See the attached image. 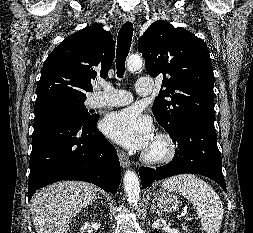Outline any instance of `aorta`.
Returning <instances> with one entry per match:
<instances>
[{
    "mask_svg": "<svg viewBox=\"0 0 253 233\" xmlns=\"http://www.w3.org/2000/svg\"><path fill=\"white\" fill-rule=\"evenodd\" d=\"M142 65L143 62L139 56L133 55L127 60V69L130 72L139 70ZM124 190L129 204L137 206L140 200V181L137 174L132 170H127L124 175Z\"/></svg>",
    "mask_w": 253,
    "mask_h": 233,
    "instance_id": "762f6f07",
    "label": "aorta"
}]
</instances>
